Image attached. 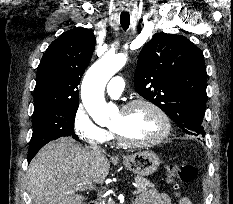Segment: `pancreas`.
<instances>
[{
    "instance_id": "obj_1",
    "label": "pancreas",
    "mask_w": 233,
    "mask_h": 204,
    "mask_svg": "<svg viewBox=\"0 0 233 204\" xmlns=\"http://www.w3.org/2000/svg\"><path fill=\"white\" fill-rule=\"evenodd\" d=\"M134 180L137 184V193H146L149 188L155 186L152 182L141 176L134 177ZM109 204H113V203H109Z\"/></svg>"
}]
</instances>
